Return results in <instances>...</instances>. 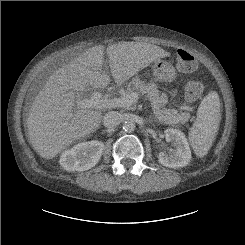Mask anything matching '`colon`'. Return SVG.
<instances>
[{
  "mask_svg": "<svg viewBox=\"0 0 245 245\" xmlns=\"http://www.w3.org/2000/svg\"><path fill=\"white\" fill-rule=\"evenodd\" d=\"M177 68L179 71L188 73L196 69L197 62L193 54L185 48H180L176 51ZM204 86L199 80H189L184 87L185 97L189 101L197 100L202 92Z\"/></svg>",
  "mask_w": 245,
  "mask_h": 245,
  "instance_id": "5ec220e1",
  "label": "colon"
}]
</instances>
